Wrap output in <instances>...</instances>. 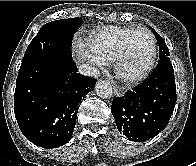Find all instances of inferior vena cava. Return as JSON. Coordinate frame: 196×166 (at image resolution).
<instances>
[{
  "mask_svg": "<svg viewBox=\"0 0 196 166\" xmlns=\"http://www.w3.org/2000/svg\"><path fill=\"white\" fill-rule=\"evenodd\" d=\"M78 71L80 74L84 76H89V77H98L99 76V71L97 68L89 65V64H81L78 66Z\"/></svg>",
  "mask_w": 196,
  "mask_h": 166,
  "instance_id": "602c4592",
  "label": "inferior vena cava"
}]
</instances>
